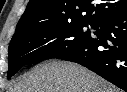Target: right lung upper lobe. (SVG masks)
<instances>
[{
  "mask_svg": "<svg viewBox=\"0 0 127 92\" xmlns=\"http://www.w3.org/2000/svg\"><path fill=\"white\" fill-rule=\"evenodd\" d=\"M30 0L13 38L36 27L72 23L95 24L101 19L127 10V0ZM86 11V15L82 12Z\"/></svg>",
  "mask_w": 127,
  "mask_h": 92,
  "instance_id": "right-lung-upper-lobe-1",
  "label": "right lung upper lobe"
}]
</instances>
